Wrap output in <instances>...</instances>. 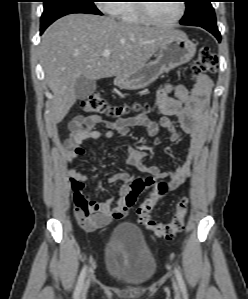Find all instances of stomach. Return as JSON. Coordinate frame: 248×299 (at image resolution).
<instances>
[{
	"instance_id": "stomach-1",
	"label": "stomach",
	"mask_w": 248,
	"mask_h": 299,
	"mask_svg": "<svg viewBox=\"0 0 248 299\" xmlns=\"http://www.w3.org/2000/svg\"><path fill=\"white\" fill-rule=\"evenodd\" d=\"M196 46L184 33L169 38L159 49L157 58L134 72L117 76L114 84L122 89H142L170 70L189 62Z\"/></svg>"
}]
</instances>
